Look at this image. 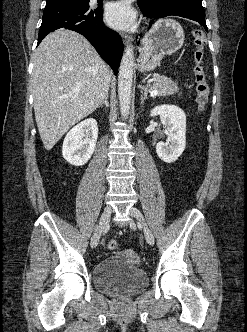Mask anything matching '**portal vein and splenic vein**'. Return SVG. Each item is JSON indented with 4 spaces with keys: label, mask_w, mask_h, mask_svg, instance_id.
<instances>
[{
    "label": "portal vein and splenic vein",
    "mask_w": 247,
    "mask_h": 332,
    "mask_svg": "<svg viewBox=\"0 0 247 332\" xmlns=\"http://www.w3.org/2000/svg\"><path fill=\"white\" fill-rule=\"evenodd\" d=\"M158 94V91L157 90H154V91H151L150 92V96L151 97H154V96H156Z\"/></svg>",
    "instance_id": "obj_1"
}]
</instances>
